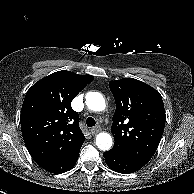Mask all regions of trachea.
Wrapping results in <instances>:
<instances>
[{
  "label": "trachea",
  "mask_w": 194,
  "mask_h": 194,
  "mask_svg": "<svg viewBox=\"0 0 194 194\" xmlns=\"http://www.w3.org/2000/svg\"><path fill=\"white\" fill-rule=\"evenodd\" d=\"M86 124L88 127H93L96 124V121L93 117H88L86 120Z\"/></svg>",
  "instance_id": "3493384b"
}]
</instances>
